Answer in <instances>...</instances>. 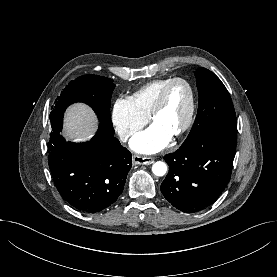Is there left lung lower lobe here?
Listing matches in <instances>:
<instances>
[{
	"label": "left lung lower lobe",
	"instance_id": "left-lung-lower-lobe-1",
	"mask_svg": "<svg viewBox=\"0 0 277 277\" xmlns=\"http://www.w3.org/2000/svg\"><path fill=\"white\" fill-rule=\"evenodd\" d=\"M236 134L214 132L164 156L169 173L161 191L183 212L212 204L228 184L236 151Z\"/></svg>",
	"mask_w": 277,
	"mask_h": 277
}]
</instances>
